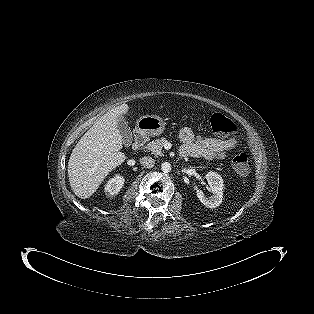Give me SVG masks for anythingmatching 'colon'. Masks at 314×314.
<instances>
[{"instance_id":"1","label":"colon","mask_w":314,"mask_h":314,"mask_svg":"<svg viewBox=\"0 0 314 314\" xmlns=\"http://www.w3.org/2000/svg\"><path fill=\"white\" fill-rule=\"evenodd\" d=\"M211 130L220 135H230L236 130V126L227 116L222 113H214L210 118ZM233 167L236 172L245 176L250 172V157L246 153H240L233 159Z\"/></svg>"}]
</instances>
